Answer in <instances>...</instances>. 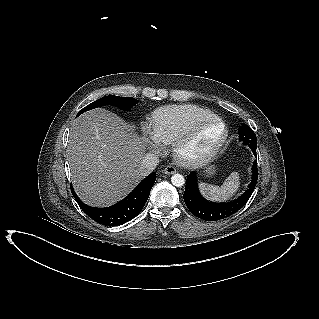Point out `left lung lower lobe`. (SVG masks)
<instances>
[{"label": "left lung lower lobe", "mask_w": 319, "mask_h": 319, "mask_svg": "<svg viewBox=\"0 0 319 319\" xmlns=\"http://www.w3.org/2000/svg\"><path fill=\"white\" fill-rule=\"evenodd\" d=\"M256 156L255 146H250ZM258 179L257 163L252 166V181L248 189L236 200L228 203H213L205 200L198 190L197 174L191 172L187 176L184 192V201L190 212L196 217L206 221H216L229 217L240 210L250 198Z\"/></svg>", "instance_id": "1"}]
</instances>
